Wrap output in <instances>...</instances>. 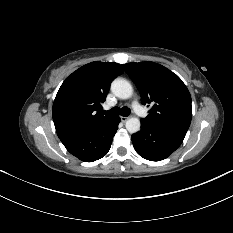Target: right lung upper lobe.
<instances>
[{
  "instance_id": "cb5924a9",
  "label": "right lung upper lobe",
  "mask_w": 233,
  "mask_h": 233,
  "mask_svg": "<svg viewBox=\"0 0 233 233\" xmlns=\"http://www.w3.org/2000/svg\"><path fill=\"white\" fill-rule=\"evenodd\" d=\"M115 62H91L73 72L62 83L53 103L52 116L60 139L110 120L102 114L112 80L122 73Z\"/></svg>"
}]
</instances>
